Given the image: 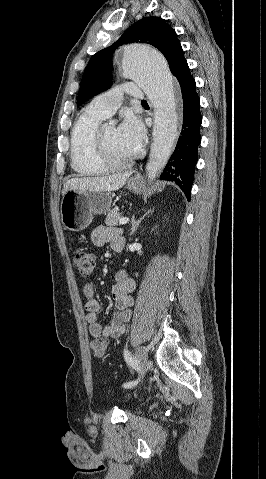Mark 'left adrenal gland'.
<instances>
[{"label":"left adrenal gland","instance_id":"a2214340","mask_svg":"<svg viewBox=\"0 0 266 479\" xmlns=\"http://www.w3.org/2000/svg\"><path fill=\"white\" fill-rule=\"evenodd\" d=\"M153 210H148L139 220H135V218L133 217L132 220H131V224H132V228H131V232H130V235H133L134 232L137 230L139 224L141 223V221L145 218L146 215H148L149 213H152Z\"/></svg>","mask_w":266,"mask_h":479}]
</instances>
